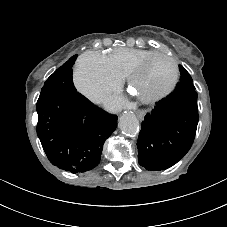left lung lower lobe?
Segmentation results:
<instances>
[{
    "label": "left lung lower lobe",
    "instance_id": "obj_1",
    "mask_svg": "<svg viewBox=\"0 0 227 227\" xmlns=\"http://www.w3.org/2000/svg\"><path fill=\"white\" fill-rule=\"evenodd\" d=\"M195 89L175 90L147 113L139 133L138 160L147 170H165L191 148L198 124Z\"/></svg>",
    "mask_w": 227,
    "mask_h": 227
}]
</instances>
